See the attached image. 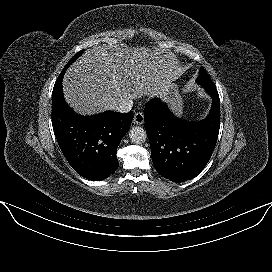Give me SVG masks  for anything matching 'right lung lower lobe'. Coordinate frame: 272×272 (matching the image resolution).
<instances>
[{
	"mask_svg": "<svg viewBox=\"0 0 272 272\" xmlns=\"http://www.w3.org/2000/svg\"><path fill=\"white\" fill-rule=\"evenodd\" d=\"M62 79L58 77L52 93V125L58 144L81 176L93 181L106 179L119 166L116 151L134 115L114 111L90 117L77 115L65 103Z\"/></svg>",
	"mask_w": 272,
	"mask_h": 272,
	"instance_id": "1",
	"label": "right lung lower lobe"
}]
</instances>
